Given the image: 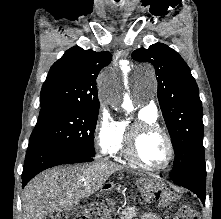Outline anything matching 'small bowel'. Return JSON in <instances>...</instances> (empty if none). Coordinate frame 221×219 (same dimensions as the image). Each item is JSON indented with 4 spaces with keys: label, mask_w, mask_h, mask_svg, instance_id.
<instances>
[{
    "label": "small bowel",
    "mask_w": 221,
    "mask_h": 219,
    "mask_svg": "<svg viewBox=\"0 0 221 219\" xmlns=\"http://www.w3.org/2000/svg\"><path fill=\"white\" fill-rule=\"evenodd\" d=\"M141 219H160L156 214L152 212H146Z\"/></svg>",
    "instance_id": "1"
}]
</instances>
